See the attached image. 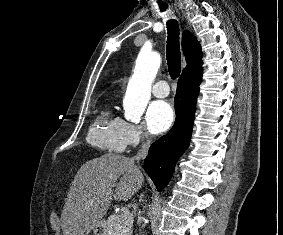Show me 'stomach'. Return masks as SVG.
Returning a JSON list of instances; mask_svg holds the SVG:
<instances>
[{"label": "stomach", "instance_id": "0dacf381", "mask_svg": "<svg viewBox=\"0 0 283 235\" xmlns=\"http://www.w3.org/2000/svg\"><path fill=\"white\" fill-rule=\"evenodd\" d=\"M92 232L93 235H110L108 225L104 221H100L96 226H94Z\"/></svg>", "mask_w": 283, "mask_h": 235}]
</instances>
